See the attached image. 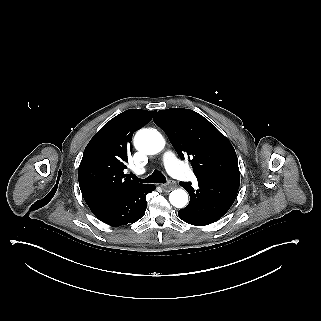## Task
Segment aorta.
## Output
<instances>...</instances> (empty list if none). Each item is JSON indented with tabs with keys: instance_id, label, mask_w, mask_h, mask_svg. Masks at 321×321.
I'll use <instances>...</instances> for the list:
<instances>
[{
	"instance_id": "obj_1",
	"label": "aorta",
	"mask_w": 321,
	"mask_h": 321,
	"mask_svg": "<svg viewBox=\"0 0 321 321\" xmlns=\"http://www.w3.org/2000/svg\"><path fill=\"white\" fill-rule=\"evenodd\" d=\"M134 145L140 152L153 155L163 150L165 140L156 129H142L136 133ZM169 201L174 207L183 208L187 205L188 194L184 189H175L170 193Z\"/></svg>"
}]
</instances>
